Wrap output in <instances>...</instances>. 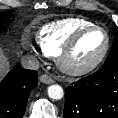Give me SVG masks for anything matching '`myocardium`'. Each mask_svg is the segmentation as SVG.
I'll return each mask as SVG.
<instances>
[{"instance_id":"1","label":"myocardium","mask_w":118,"mask_h":118,"mask_svg":"<svg viewBox=\"0 0 118 118\" xmlns=\"http://www.w3.org/2000/svg\"><path fill=\"white\" fill-rule=\"evenodd\" d=\"M99 30L102 31L106 38V45L104 47V50L99 55L97 59H95L93 62L84 65V66H73L69 63V59L81 41V39L88 33ZM111 46V38L108 33V31L99 25H90L87 27H84L80 30H78L71 38L70 40L65 44L63 49L58 54L57 58V65L61 72H63L66 75L69 76H82L85 74H88L95 70L106 58Z\"/></svg>"}]
</instances>
